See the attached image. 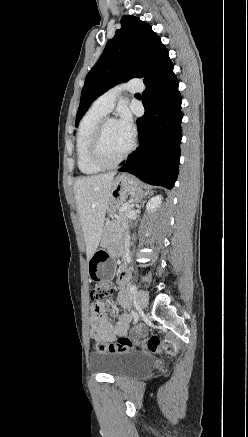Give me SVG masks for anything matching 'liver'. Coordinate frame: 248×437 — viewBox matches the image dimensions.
<instances>
[{"label": "liver", "instance_id": "1", "mask_svg": "<svg viewBox=\"0 0 248 437\" xmlns=\"http://www.w3.org/2000/svg\"><path fill=\"white\" fill-rule=\"evenodd\" d=\"M116 172L78 178L74 183L77 204L89 260L102 238L107 206L111 199Z\"/></svg>", "mask_w": 248, "mask_h": 437}]
</instances>
